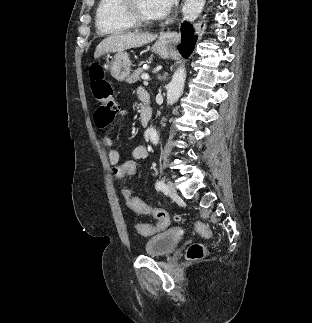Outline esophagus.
I'll use <instances>...</instances> for the list:
<instances>
[{
    "mask_svg": "<svg viewBox=\"0 0 312 323\" xmlns=\"http://www.w3.org/2000/svg\"><path fill=\"white\" fill-rule=\"evenodd\" d=\"M162 38L168 42L175 43V44L179 43L180 41V35L177 32H165L162 35Z\"/></svg>",
    "mask_w": 312,
    "mask_h": 323,
    "instance_id": "34e87169",
    "label": "esophagus"
}]
</instances>
